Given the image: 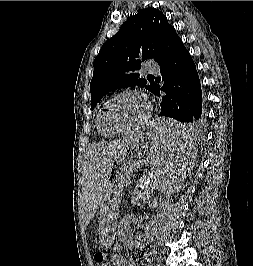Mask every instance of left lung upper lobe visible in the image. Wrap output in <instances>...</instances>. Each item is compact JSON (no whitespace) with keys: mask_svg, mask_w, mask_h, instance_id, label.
<instances>
[{"mask_svg":"<svg viewBox=\"0 0 253 266\" xmlns=\"http://www.w3.org/2000/svg\"><path fill=\"white\" fill-rule=\"evenodd\" d=\"M173 30L166 16L157 9H142L131 16L118 33L103 44L94 60L91 109L107 93L121 87L137 84L152 92L155 83L139 78L137 72L144 60L159 59L157 52H162Z\"/></svg>","mask_w":253,"mask_h":266,"instance_id":"obj_1","label":"left lung upper lobe"}]
</instances>
